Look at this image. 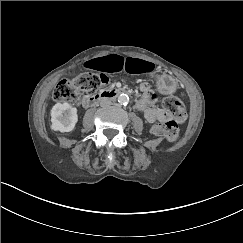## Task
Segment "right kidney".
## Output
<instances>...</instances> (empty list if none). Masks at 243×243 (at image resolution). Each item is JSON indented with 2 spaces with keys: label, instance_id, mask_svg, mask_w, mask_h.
<instances>
[{
  "label": "right kidney",
  "instance_id": "ca27d5eb",
  "mask_svg": "<svg viewBox=\"0 0 243 243\" xmlns=\"http://www.w3.org/2000/svg\"><path fill=\"white\" fill-rule=\"evenodd\" d=\"M78 121L77 109L69 103H57L51 109V129L60 132H70Z\"/></svg>",
  "mask_w": 243,
  "mask_h": 243
}]
</instances>
